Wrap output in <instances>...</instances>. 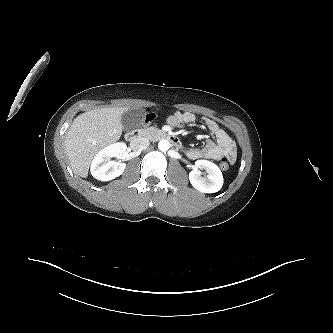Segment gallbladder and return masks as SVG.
Here are the masks:
<instances>
[{
	"mask_svg": "<svg viewBox=\"0 0 333 333\" xmlns=\"http://www.w3.org/2000/svg\"><path fill=\"white\" fill-rule=\"evenodd\" d=\"M144 111L141 109L130 110L122 115V126L126 131H133L142 122L144 117Z\"/></svg>",
	"mask_w": 333,
	"mask_h": 333,
	"instance_id": "gallbladder-1",
	"label": "gallbladder"
}]
</instances>
